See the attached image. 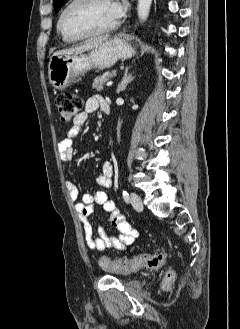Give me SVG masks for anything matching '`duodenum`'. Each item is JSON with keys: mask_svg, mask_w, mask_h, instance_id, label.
Instances as JSON below:
<instances>
[{"mask_svg": "<svg viewBox=\"0 0 240 329\" xmlns=\"http://www.w3.org/2000/svg\"><path fill=\"white\" fill-rule=\"evenodd\" d=\"M102 110H103L104 113L110 114L111 108H110V105H109V103L107 101H105L103 103Z\"/></svg>", "mask_w": 240, "mask_h": 329, "instance_id": "410a0bca", "label": "duodenum"}]
</instances>
